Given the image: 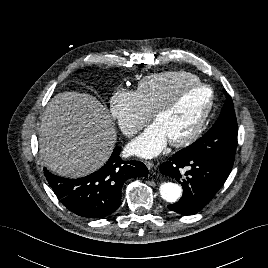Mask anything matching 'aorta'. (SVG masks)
Wrapping results in <instances>:
<instances>
[{"mask_svg": "<svg viewBox=\"0 0 268 268\" xmlns=\"http://www.w3.org/2000/svg\"><path fill=\"white\" fill-rule=\"evenodd\" d=\"M159 190L161 197L167 202L177 201L182 194L181 186L172 182L162 183Z\"/></svg>", "mask_w": 268, "mask_h": 268, "instance_id": "762f6f07", "label": "aorta"}]
</instances>
